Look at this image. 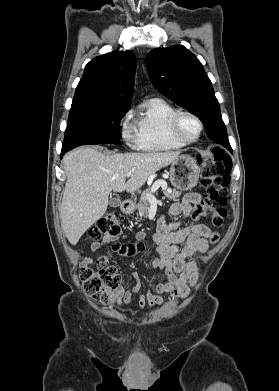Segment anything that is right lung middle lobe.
<instances>
[{
  "label": "right lung middle lobe",
  "mask_w": 279,
  "mask_h": 391,
  "mask_svg": "<svg viewBox=\"0 0 279 391\" xmlns=\"http://www.w3.org/2000/svg\"><path fill=\"white\" fill-rule=\"evenodd\" d=\"M129 107L87 108L70 111L62 150L105 141L118 143L119 127Z\"/></svg>",
  "instance_id": "right-lung-middle-lobe-1"
}]
</instances>
